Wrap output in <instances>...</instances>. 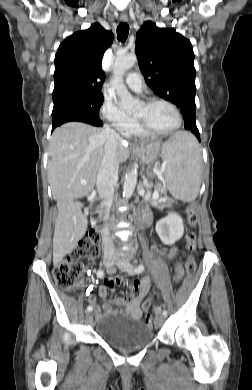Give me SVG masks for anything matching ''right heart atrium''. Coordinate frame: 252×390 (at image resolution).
I'll use <instances>...</instances> for the list:
<instances>
[{
  "instance_id": "obj_1",
  "label": "right heart atrium",
  "mask_w": 252,
  "mask_h": 390,
  "mask_svg": "<svg viewBox=\"0 0 252 390\" xmlns=\"http://www.w3.org/2000/svg\"><path fill=\"white\" fill-rule=\"evenodd\" d=\"M101 113L103 118L108 122V126L124 137H129L135 128L134 119L124 113L111 100H106L103 103Z\"/></svg>"
}]
</instances>
